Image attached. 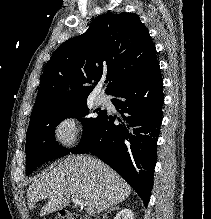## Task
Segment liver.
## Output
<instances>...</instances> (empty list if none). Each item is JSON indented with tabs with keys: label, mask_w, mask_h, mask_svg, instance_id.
I'll use <instances>...</instances> for the list:
<instances>
[{
	"label": "liver",
	"mask_w": 211,
	"mask_h": 219,
	"mask_svg": "<svg viewBox=\"0 0 211 219\" xmlns=\"http://www.w3.org/2000/svg\"><path fill=\"white\" fill-rule=\"evenodd\" d=\"M132 188L113 169L91 156H69L43 172L27 190L28 206L48 199L40 216L65 208L71 195H78L88 214L100 213L131 194Z\"/></svg>",
	"instance_id": "6515ba94"
}]
</instances>
